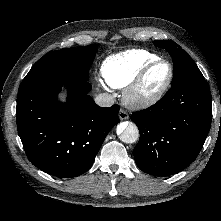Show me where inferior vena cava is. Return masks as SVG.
Returning <instances> with one entry per match:
<instances>
[{
	"mask_svg": "<svg viewBox=\"0 0 221 221\" xmlns=\"http://www.w3.org/2000/svg\"><path fill=\"white\" fill-rule=\"evenodd\" d=\"M95 102L101 107H110L114 104V99L108 93H101L96 96Z\"/></svg>",
	"mask_w": 221,
	"mask_h": 221,
	"instance_id": "1",
	"label": "inferior vena cava"
}]
</instances>
